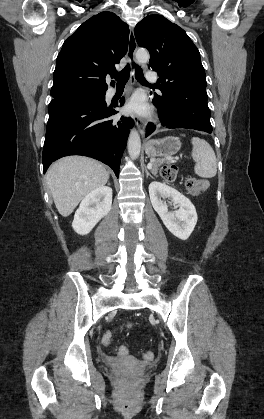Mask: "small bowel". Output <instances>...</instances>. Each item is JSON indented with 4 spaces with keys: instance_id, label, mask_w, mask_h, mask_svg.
<instances>
[{
    "instance_id": "obj_1",
    "label": "small bowel",
    "mask_w": 264,
    "mask_h": 419,
    "mask_svg": "<svg viewBox=\"0 0 264 419\" xmlns=\"http://www.w3.org/2000/svg\"><path fill=\"white\" fill-rule=\"evenodd\" d=\"M118 357H124L127 354V349L125 346H119L116 350Z\"/></svg>"
}]
</instances>
